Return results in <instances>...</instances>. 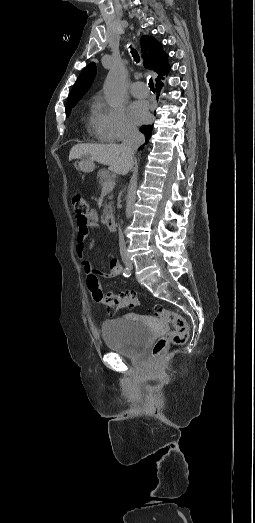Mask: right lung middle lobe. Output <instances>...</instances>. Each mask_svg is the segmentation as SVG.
<instances>
[{"label":"right lung middle lobe","instance_id":"dd1d6c3e","mask_svg":"<svg viewBox=\"0 0 255 523\" xmlns=\"http://www.w3.org/2000/svg\"><path fill=\"white\" fill-rule=\"evenodd\" d=\"M77 101L75 102H67V105H66V117H68L71 113V108L74 107L76 105Z\"/></svg>","mask_w":255,"mask_h":523}]
</instances>
